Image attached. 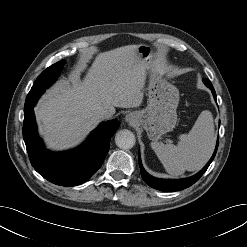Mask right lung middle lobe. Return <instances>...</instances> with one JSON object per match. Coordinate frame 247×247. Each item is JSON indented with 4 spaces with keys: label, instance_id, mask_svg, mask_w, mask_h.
Here are the masks:
<instances>
[{
    "label": "right lung middle lobe",
    "instance_id": "right-lung-middle-lobe-1",
    "mask_svg": "<svg viewBox=\"0 0 247 247\" xmlns=\"http://www.w3.org/2000/svg\"><path fill=\"white\" fill-rule=\"evenodd\" d=\"M64 60H61L46 70H44L36 79L34 85L32 86L29 94L30 95H41L44 90L49 87L57 79L60 71L62 70Z\"/></svg>",
    "mask_w": 247,
    "mask_h": 247
}]
</instances>
